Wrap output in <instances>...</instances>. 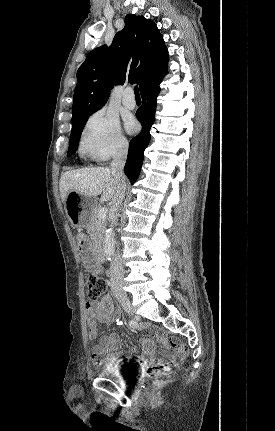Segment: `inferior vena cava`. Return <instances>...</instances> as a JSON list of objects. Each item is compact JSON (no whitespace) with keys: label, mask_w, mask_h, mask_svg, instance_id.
<instances>
[{"label":"inferior vena cava","mask_w":275,"mask_h":431,"mask_svg":"<svg viewBox=\"0 0 275 431\" xmlns=\"http://www.w3.org/2000/svg\"><path fill=\"white\" fill-rule=\"evenodd\" d=\"M128 153V145L122 144L118 147V149L113 154V161L111 163V171L112 175L118 182V188L114 197L112 198V207L111 210L113 212V224H117L116 216L114 215L120 204L122 203L126 190V182L124 175V165L126 162ZM122 280H123V266L121 257L118 251V254L115 255L113 261L111 262V288L112 290H122Z\"/></svg>","instance_id":"602c4592"}]
</instances>
